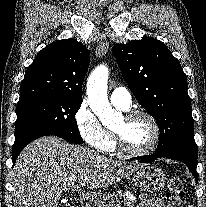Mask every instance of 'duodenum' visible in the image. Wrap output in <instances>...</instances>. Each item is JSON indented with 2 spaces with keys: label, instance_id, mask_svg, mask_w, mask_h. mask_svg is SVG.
Here are the masks:
<instances>
[{
  "label": "duodenum",
  "instance_id": "duodenum-1",
  "mask_svg": "<svg viewBox=\"0 0 206 207\" xmlns=\"http://www.w3.org/2000/svg\"><path fill=\"white\" fill-rule=\"evenodd\" d=\"M76 207H85L84 201H76Z\"/></svg>",
  "mask_w": 206,
  "mask_h": 207
}]
</instances>
